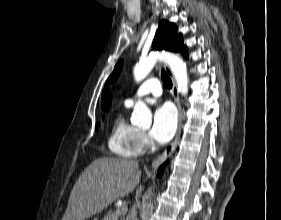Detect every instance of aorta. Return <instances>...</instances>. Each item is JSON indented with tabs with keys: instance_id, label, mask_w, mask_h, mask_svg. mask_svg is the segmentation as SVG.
Here are the masks:
<instances>
[{
	"instance_id": "aorta-1",
	"label": "aorta",
	"mask_w": 281,
	"mask_h": 220,
	"mask_svg": "<svg viewBox=\"0 0 281 220\" xmlns=\"http://www.w3.org/2000/svg\"><path fill=\"white\" fill-rule=\"evenodd\" d=\"M157 61L165 62L169 65L178 87V91L182 95L188 93V75L185 62L178 56L172 53L153 54L147 58H143L134 67L133 73L136 82L142 81L153 69ZM151 112L146 104L139 100L135 103L131 122L138 126H150Z\"/></svg>"
}]
</instances>
